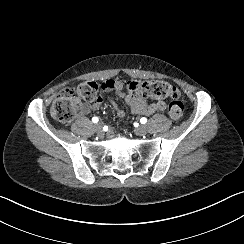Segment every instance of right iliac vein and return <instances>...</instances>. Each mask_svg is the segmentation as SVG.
Masks as SVG:
<instances>
[{"mask_svg":"<svg viewBox=\"0 0 244 244\" xmlns=\"http://www.w3.org/2000/svg\"><path fill=\"white\" fill-rule=\"evenodd\" d=\"M94 128H95V131L99 134H102L103 131H102V123L101 122H98L97 124L94 125Z\"/></svg>","mask_w":244,"mask_h":244,"instance_id":"63e3f726","label":"right iliac vein"}]
</instances>
